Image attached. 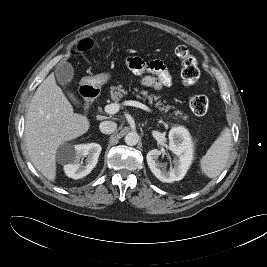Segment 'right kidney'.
Masks as SVG:
<instances>
[{
  "mask_svg": "<svg viewBox=\"0 0 267 267\" xmlns=\"http://www.w3.org/2000/svg\"><path fill=\"white\" fill-rule=\"evenodd\" d=\"M102 147L97 143L75 145L72 149L68 163L64 165L66 175L73 179L87 176L98 162ZM85 159V164L82 160Z\"/></svg>",
  "mask_w": 267,
  "mask_h": 267,
  "instance_id": "ca27d5eb",
  "label": "right kidney"
}]
</instances>
